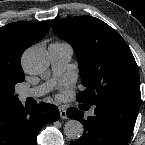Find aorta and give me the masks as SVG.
Returning a JSON list of instances; mask_svg holds the SVG:
<instances>
[{"mask_svg":"<svg viewBox=\"0 0 145 145\" xmlns=\"http://www.w3.org/2000/svg\"><path fill=\"white\" fill-rule=\"evenodd\" d=\"M23 68L29 74L43 73L50 65L49 55L40 47L28 48L22 56ZM84 132L83 125L77 120H69L64 127L65 135L72 140H78Z\"/></svg>","mask_w":145,"mask_h":145,"instance_id":"aorta-1","label":"aorta"}]
</instances>
